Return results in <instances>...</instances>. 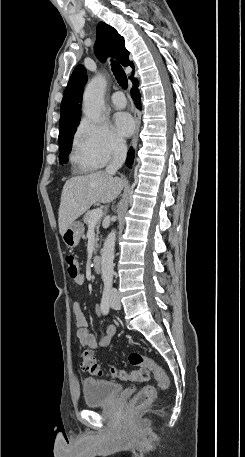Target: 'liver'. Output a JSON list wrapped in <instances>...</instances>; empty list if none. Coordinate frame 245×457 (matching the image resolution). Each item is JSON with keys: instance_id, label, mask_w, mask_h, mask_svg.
Segmentation results:
<instances>
[{"instance_id": "6515ba94", "label": "liver", "mask_w": 245, "mask_h": 457, "mask_svg": "<svg viewBox=\"0 0 245 457\" xmlns=\"http://www.w3.org/2000/svg\"><path fill=\"white\" fill-rule=\"evenodd\" d=\"M123 188L118 176L98 170L85 176H72L66 180L59 206V233L63 235L69 224L81 216L93 202H112Z\"/></svg>"}]
</instances>
